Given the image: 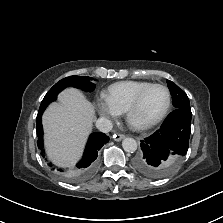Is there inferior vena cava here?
Returning <instances> with one entry per match:
<instances>
[{
    "label": "inferior vena cava",
    "mask_w": 223,
    "mask_h": 223,
    "mask_svg": "<svg viewBox=\"0 0 223 223\" xmlns=\"http://www.w3.org/2000/svg\"><path fill=\"white\" fill-rule=\"evenodd\" d=\"M96 127L103 133L110 132L113 128L112 122L105 118L101 117L96 121Z\"/></svg>",
    "instance_id": "1"
}]
</instances>
